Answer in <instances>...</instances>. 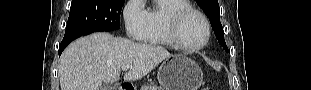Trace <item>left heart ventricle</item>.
Segmentation results:
<instances>
[{
    "label": "left heart ventricle",
    "mask_w": 311,
    "mask_h": 90,
    "mask_svg": "<svg viewBox=\"0 0 311 90\" xmlns=\"http://www.w3.org/2000/svg\"><path fill=\"white\" fill-rule=\"evenodd\" d=\"M180 35L189 45H198L205 39L206 28L203 20L196 14L187 16L181 27Z\"/></svg>",
    "instance_id": "b2bd125f"
}]
</instances>
